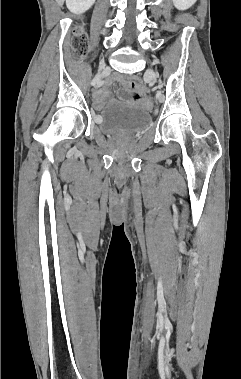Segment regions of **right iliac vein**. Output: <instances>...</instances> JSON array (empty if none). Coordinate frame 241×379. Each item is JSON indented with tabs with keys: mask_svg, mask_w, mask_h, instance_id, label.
I'll use <instances>...</instances> for the list:
<instances>
[{
	"mask_svg": "<svg viewBox=\"0 0 241 379\" xmlns=\"http://www.w3.org/2000/svg\"><path fill=\"white\" fill-rule=\"evenodd\" d=\"M105 69H106L105 64H100L99 71H98L97 75L94 78V84H96L100 80V78H101V71L105 70Z\"/></svg>",
	"mask_w": 241,
	"mask_h": 379,
	"instance_id": "63e3f726",
	"label": "right iliac vein"
}]
</instances>
